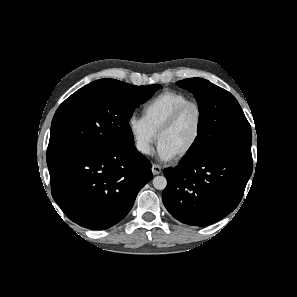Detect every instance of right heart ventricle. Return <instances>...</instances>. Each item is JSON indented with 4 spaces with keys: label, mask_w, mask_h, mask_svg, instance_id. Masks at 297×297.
Here are the masks:
<instances>
[{
    "label": "right heart ventricle",
    "mask_w": 297,
    "mask_h": 297,
    "mask_svg": "<svg viewBox=\"0 0 297 297\" xmlns=\"http://www.w3.org/2000/svg\"><path fill=\"white\" fill-rule=\"evenodd\" d=\"M191 101L188 96L177 91H163L147 101L142 107V115L150 128L157 134L162 124L181 105Z\"/></svg>",
    "instance_id": "obj_1"
}]
</instances>
